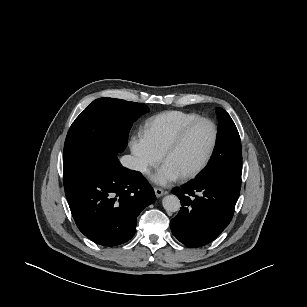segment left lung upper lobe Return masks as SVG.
<instances>
[{"mask_svg": "<svg viewBox=\"0 0 307 307\" xmlns=\"http://www.w3.org/2000/svg\"><path fill=\"white\" fill-rule=\"evenodd\" d=\"M219 128L214 155L200 178L221 177L241 187L242 149L238 130L222 108H217Z\"/></svg>", "mask_w": 307, "mask_h": 307, "instance_id": "1", "label": "left lung upper lobe"}]
</instances>
